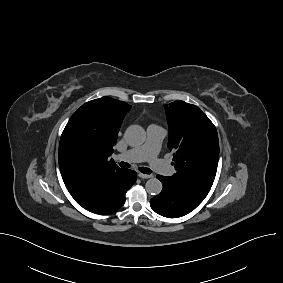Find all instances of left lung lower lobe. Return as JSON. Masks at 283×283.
<instances>
[{
  "instance_id": "0a47b994",
  "label": "left lung lower lobe",
  "mask_w": 283,
  "mask_h": 283,
  "mask_svg": "<svg viewBox=\"0 0 283 283\" xmlns=\"http://www.w3.org/2000/svg\"><path fill=\"white\" fill-rule=\"evenodd\" d=\"M157 178L162 182L163 189L150 200V206L159 215L167 218L182 217L202 202L172 177L157 175Z\"/></svg>"
}]
</instances>
